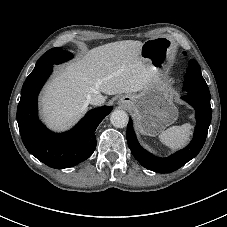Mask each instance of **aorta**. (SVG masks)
<instances>
[{
  "label": "aorta",
  "instance_id": "762f6f07",
  "mask_svg": "<svg viewBox=\"0 0 227 227\" xmlns=\"http://www.w3.org/2000/svg\"><path fill=\"white\" fill-rule=\"evenodd\" d=\"M128 115L123 110H114L110 115V121L116 128H124L128 124Z\"/></svg>",
  "mask_w": 227,
  "mask_h": 227
}]
</instances>
